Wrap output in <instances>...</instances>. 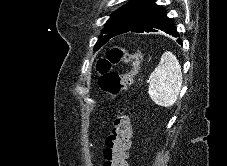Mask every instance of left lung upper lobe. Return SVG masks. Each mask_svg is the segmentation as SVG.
Returning <instances> with one entry per match:
<instances>
[{
	"mask_svg": "<svg viewBox=\"0 0 227 166\" xmlns=\"http://www.w3.org/2000/svg\"><path fill=\"white\" fill-rule=\"evenodd\" d=\"M146 1L147 0H130L127 4L116 10L106 22L102 34L95 44L94 50H98L110 38L127 31L132 26L133 21Z\"/></svg>",
	"mask_w": 227,
	"mask_h": 166,
	"instance_id": "obj_1",
	"label": "left lung upper lobe"
}]
</instances>
